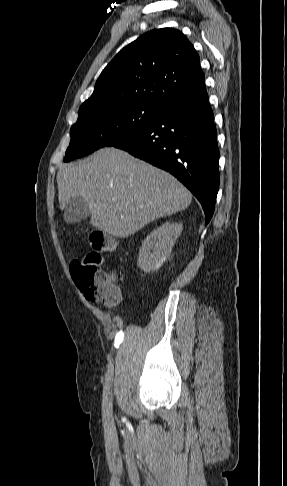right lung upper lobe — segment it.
<instances>
[{
	"mask_svg": "<svg viewBox=\"0 0 287 486\" xmlns=\"http://www.w3.org/2000/svg\"><path fill=\"white\" fill-rule=\"evenodd\" d=\"M205 88L199 55L184 34L155 29L113 58L79 111L118 101H151L165 107Z\"/></svg>",
	"mask_w": 287,
	"mask_h": 486,
	"instance_id": "cb5924a9",
	"label": "right lung upper lobe"
}]
</instances>
